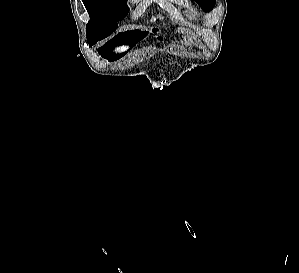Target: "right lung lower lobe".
I'll return each instance as SVG.
<instances>
[{
    "mask_svg": "<svg viewBox=\"0 0 299 273\" xmlns=\"http://www.w3.org/2000/svg\"><path fill=\"white\" fill-rule=\"evenodd\" d=\"M97 41L96 40H93V41H89V47H92V45H94Z\"/></svg>",
    "mask_w": 299,
    "mask_h": 273,
    "instance_id": "98d812e1",
    "label": "right lung lower lobe"
}]
</instances>
